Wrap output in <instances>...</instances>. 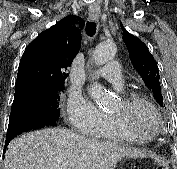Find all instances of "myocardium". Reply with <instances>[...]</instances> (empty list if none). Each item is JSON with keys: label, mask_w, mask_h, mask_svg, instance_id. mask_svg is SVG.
I'll list each match as a JSON object with an SVG mask.
<instances>
[{"label": "myocardium", "mask_w": 177, "mask_h": 169, "mask_svg": "<svg viewBox=\"0 0 177 169\" xmlns=\"http://www.w3.org/2000/svg\"><path fill=\"white\" fill-rule=\"evenodd\" d=\"M123 111L118 113H110L109 115L113 118L124 136L131 141H140L143 139H152L160 133L163 128L164 120L159 109L142 93L138 91H129L120 96ZM141 106L150 110L158 120V125L149 132L140 133L135 135L130 132L129 125V112L134 108Z\"/></svg>", "instance_id": "obj_1"}]
</instances>
